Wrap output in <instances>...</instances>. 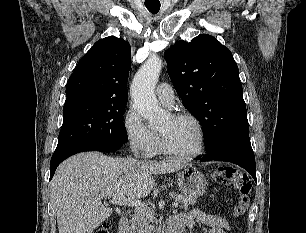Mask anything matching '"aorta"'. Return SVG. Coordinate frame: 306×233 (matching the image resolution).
<instances>
[{
  "label": "aorta",
  "mask_w": 306,
  "mask_h": 233,
  "mask_svg": "<svg viewBox=\"0 0 306 233\" xmlns=\"http://www.w3.org/2000/svg\"><path fill=\"white\" fill-rule=\"evenodd\" d=\"M162 68L161 59L153 55L141 66L131 85V97L135 108L151 128L165 121L166 113L159 107L154 88Z\"/></svg>",
  "instance_id": "1"
}]
</instances>
